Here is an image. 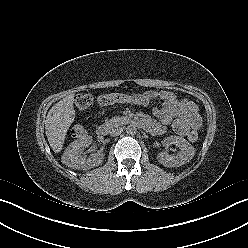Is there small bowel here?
<instances>
[{"mask_svg": "<svg viewBox=\"0 0 248 248\" xmlns=\"http://www.w3.org/2000/svg\"><path fill=\"white\" fill-rule=\"evenodd\" d=\"M155 99L162 101L159 107L153 109V114L159 123L149 117H145L141 122L142 126L147 127L151 133L162 134L166 126L172 123L175 133L189 137L192 131H197L201 127L202 120L197 106L191 101L178 99L167 90H149L138 94H127L125 102L146 106Z\"/></svg>", "mask_w": 248, "mask_h": 248, "instance_id": "small-bowel-1", "label": "small bowel"}]
</instances>
